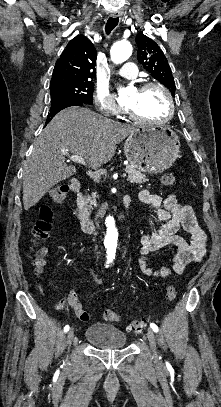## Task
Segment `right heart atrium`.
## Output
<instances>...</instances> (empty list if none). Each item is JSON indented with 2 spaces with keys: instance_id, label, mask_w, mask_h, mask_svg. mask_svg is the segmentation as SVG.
<instances>
[{
  "instance_id": "d8ad5b80",
  "label": "right heart atrium",
  "mask_w": 221,
  "mask_h": 407,
  "mask_svg": "<svg viewBox=\"0 0 221 407\" xmlns=\"http://www.w3.org/2000/svg\"><path fill=\"white\" fill-rule=\"evenodd\" d=\"M94 104L97 111L110 115L117 116L122 112V108L116 103L113 97L105 90H97L94 94Z\"/></svg>"
}]
</instances>
